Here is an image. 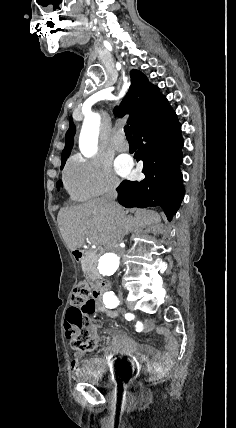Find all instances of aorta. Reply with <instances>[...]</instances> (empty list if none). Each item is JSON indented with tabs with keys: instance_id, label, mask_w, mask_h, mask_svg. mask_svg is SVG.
<instances>
[{
	"instance_id": "obj_1",
	"label": "aorta",
	"mask_w": 236,
	"mask_h": 428,
	"mask_svg": "<svg viewBox=\"0 0 236 428\" xmlns=\"http://www.w3.org/2000/svg\"><path fill=\"white\" fill-rule=\"evenodd\" d=\"M100 116L91 113L85 117L82 125L79 146L83 154L91 156L97 151L99 137ZM119 268V259L113 253L102 255L98 262V271L101 276H112Z\"/></svg>"
}]
</instances>
